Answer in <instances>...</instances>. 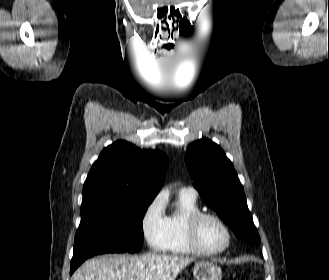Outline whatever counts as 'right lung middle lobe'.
Listing matches in <instances>:
<instances>
[{"instance_id":"dd1d6c3e","label":"right lung middle lobe","mask_w":329,"mask_h":280,"mask_svg":"<svg viewBox=\"0 0 329 280\" xmlns=\"http://www.w3.org/2000/svg\"><path fill=\"white\" fill-rule=\"evenodd\" d=\"M153 199L125 196L82 207L71 270L94 255L138 252L143 244L142 220Z\"/></svg>"}]
</instances>
